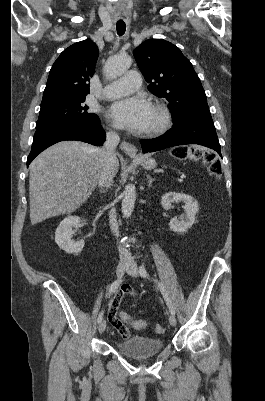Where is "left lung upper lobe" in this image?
<instances>
[{
	"label": "left lung upper lobe",
	"instance_id": "left-lung-upper-lobe-1",
	"mask_svg": "<svg viewBox=\"0 0 265 401\" xmlns=\"http://www.w3.org/2000/svg\"><path fill=\"white\" fill-rule=\"evenodd\" d=\"M148 90L168 102L174 122L210 114L200 79L181 50L163 39H150L133 51Z\"/></svg>",
	"mask_w": 265,
	"mask_h": 401
}]
</instances>
